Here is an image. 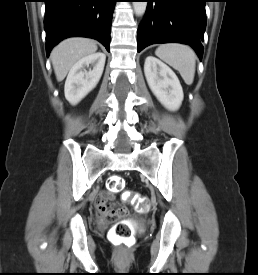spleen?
I'll use <instances>...</instances> for the list:
<instances>
[{
  "label": "spleen",
  "instance_id": "3e777b00",
  "mask_svg": "<svg viewBox=\"0 0 258 275\" xmlns=\"http://www.w3.org/2000/svg\"><path fill=\"white\" fill-rule=\"evenodd\" d=\"M155 54L179 71L187 85L193 83L196 55L191 47L179 43H167L160 45Z\"/></svg>",
  "mask_w": 258,
  "mask_h": 275
}]
</instances>
